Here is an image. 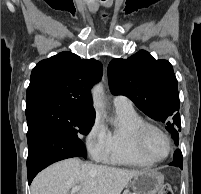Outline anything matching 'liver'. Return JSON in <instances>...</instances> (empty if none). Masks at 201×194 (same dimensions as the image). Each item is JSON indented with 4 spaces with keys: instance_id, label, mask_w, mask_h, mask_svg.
<instances>
[{
    "instance_id": "liver-1",
    "label": "liver",
    "mask_w": 201,
    "mask_h": 194,
    "mask_svg": "<svg viewBox=\"0 0 201 194\" xmlns=\"http://www.w3.org/2000/svg\"><path fill=\"white\" fill-rule=\"evenodd\" d=\"M142 171L67 159L40 172L31 184V194H69L75 186H81L79 194H120Z\"/></svg>"
}]
</instances>
